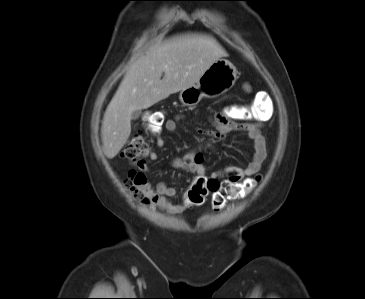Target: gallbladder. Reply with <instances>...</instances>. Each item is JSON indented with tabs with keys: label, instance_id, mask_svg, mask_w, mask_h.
<instances>
[{
	"label": "gallbladder",
	"instance_id": "gallbladder-1",
	"mask_svg": "<svg viewBox=\"0 0 365 299\" xmlns=\"http://www.w3.org/2000/svg\"><path fill=\"white\" fill-rule=\"evenodd\" d=\"M140 111L139 110H136V111H134L133 113H132V115H131V119L132 120H135V119H137L139 116H140Z\"/></svg>",
	"mask_w": 365,
	"mask_h": 299
}]
</instances>
